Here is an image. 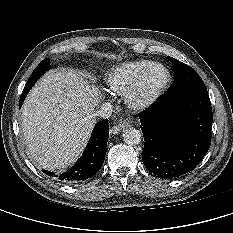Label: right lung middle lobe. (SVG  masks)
<instances>
[{
	"instance_id": "obj_1",
	"label": "right lung middle lobe",
	"mask_w": 233,
	"mask_h": 233,
	"mask_svg": "<svg viewBox=\"0 0 233 233\" xmlns=\"http://www.w3.org/2000/svg\"><path fill=\"white\" fill-rule=\"evenodd\" d=\"M51 69L49 59L45 58L33 71L29 80L27 81L28 86H33L35 82L47 71Z\"/></svg>"
}]
</instances>
